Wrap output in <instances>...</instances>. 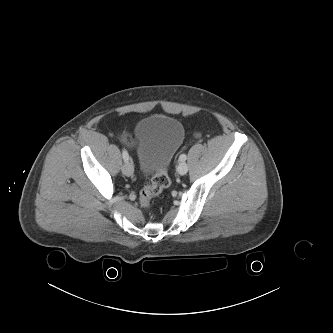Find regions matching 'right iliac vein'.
I'll use <instances>...</instances> for the list:
<instances>
[{"mask_svg":"<svg viewBox=\"0 0 333 333\" xmlns=\"http://www.w3.org/2000/svg\"><path fill=\"white\" fill-rule=\"evenodd\" d=\"M122 172L126 175V176H131L134 172V167L133 164L131 162H126L123 166H122Z\"/></svg>","mask_w":333,"mask_h":333,"instance_id":"63e3f726","label":"right iliac vein"}]
</instances>
